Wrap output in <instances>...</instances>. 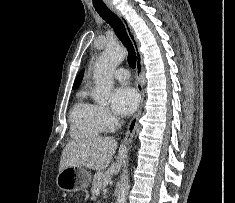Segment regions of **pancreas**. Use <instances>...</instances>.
<instances>
[{"label":"pancreas","instance_id":"pancreas-1","mask_svg":"<svg viewBox=\"0 0 235 203\" xmlns=\"http://www.w3.org/2000/svg\"><path fill=\"white\" fill-rule=\"evenodd\" d=\"M110 181V176L105 172H97L93 177L92 194H95L96 190H100L101 188L105 187Z\"/></svg>","mask_w":235,"mask_h":203}]
</instances>
